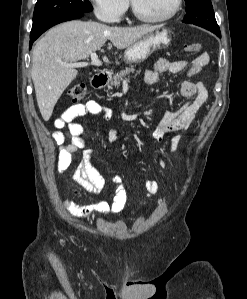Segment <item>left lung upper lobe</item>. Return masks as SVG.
<instances>
[{
	"instance_id": "1",
	"label": "left lung upper lobe",
	"mask_w": 247,
	"mask_h": 299,
	"mask_svg": "<svg viewBox=\"0 0 247 299\" xmlns=\"http://www.w3.org/2000/svg\"><path fill=\"white\" fill-rule=\"evenodd\" d=\"M186 15L182 22L200 24L213 30H220L216 22L211 0H185Z\"/></svg>"
}]
</instances>
